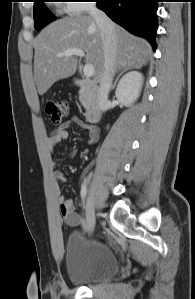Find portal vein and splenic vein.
<instances>
[{
  "instance_id": "portal-vein-and-splenic-vein-1",
  "label": "portal vein and splenic vein",
  "mask_w": 195,
  "mask_h": 299,
  "mask_svg": "<svg viewBox=\"0 0 195 299\" xmlns=\"http://www.w3.org/2000/svg\"><path fill=\"white\" fill-rule=\"evenodd\" d=\"M73 55L79 56V57H84L85 53L81 49L70 48L62 53L57 54L58 57H63V56L69 57V56H73ZM94 72H95L94 66L90 63H86L83 68V73H84L85 77H87V78L92 77L94 75Z\"/></svg>"
}]
</instances>
